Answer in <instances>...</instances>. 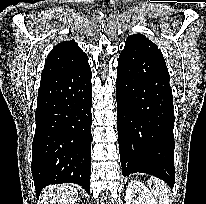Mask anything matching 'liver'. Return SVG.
Masks as SVG:
<instances>
[{"instance_id":"1","label":"liver","mask_w":206,"mask_h":204,"mask_svg":"<svg viewBox=\"0 0 206 204\" xmlns=\"http://www.w3.org/2000/svg\"><path fill=\"white\" fill-rule=\"evenodd\" d=\"M78 197V186L59 184L43 189L42 204H74Z\"/></svg>"}]
</instances>
